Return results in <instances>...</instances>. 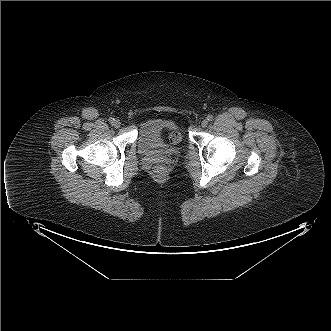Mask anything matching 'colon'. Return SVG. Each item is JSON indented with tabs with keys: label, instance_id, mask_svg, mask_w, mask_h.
<instances>
[{
	"label": "colon",
	"instance_id": "5ec220e1",
	"mask_svg": "<svg viewBox=\"0 0 331 331\" xmlns=\"http://www.w3.org/2000/svg\"><path fill=\"white\" fill-rule=\"evenodd\" d=\"M174 138H176V136H174ZM155 173H156L157 176H163L164 175V170L161 167H156Z\"/></svg>",
	"mask_w": 331,
	"mask_h": 331
}]
</instances>
